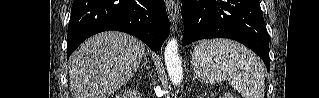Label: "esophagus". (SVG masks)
Masks as SVG:
<instances>
[{
    "label": "esophagus",
    "mask_w": 319,
    "mask_h": 98,
    "mask_svg": "<svg viewBox=\"0 0 319 98\" xmlns=\"http://www.w3.org/2000/svg\"><path fill=\"white\" fill-rule=\"evenodd\" d=\"M166 8L170 21L175 23L179 18L178 4L173 0L166 1Z\"/></svg>",
    "instance_id": "obj_1"
}]
</instances>
